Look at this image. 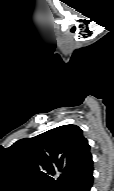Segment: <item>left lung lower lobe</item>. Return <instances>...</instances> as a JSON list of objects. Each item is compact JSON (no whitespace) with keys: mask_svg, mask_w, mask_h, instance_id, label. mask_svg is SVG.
<instances>
[{"mask_svg":"<svg viewBox=\"0 0 114 191\" xmlns=\"http://www.w3.org/2000/svg\"><path fill=\"white\" fill-rule=\"evenodd\" d=\"M93 161L89 158L60 191H90L93 184Z\"/></svg>","mask_w":114,"mask_h":191,"instance_id":"obj_1","label":"left lung lower lobe"}]
</instances>
